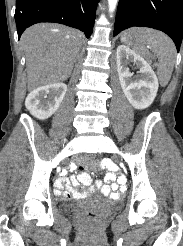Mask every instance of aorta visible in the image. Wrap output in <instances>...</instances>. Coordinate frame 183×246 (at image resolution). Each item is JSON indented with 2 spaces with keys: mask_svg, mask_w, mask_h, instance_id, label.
<instances>
[{
  "mask_svg": "<svg viewBox=\"0 0 183 246\" xmlns=\"http://www.w3.org/2000/svg\"><path fill=\"white\" fill-rule=\"evenodd\" d=\"M118 1L119 0H108V7H109V12L110 13H112L115 10V8H116V6L118 4Z\"/></svg>",
  "mask_w": 183,
  "mask_h": 246,
  "instance_id": "1",
  "label": "aorta"
}]
</instances>
